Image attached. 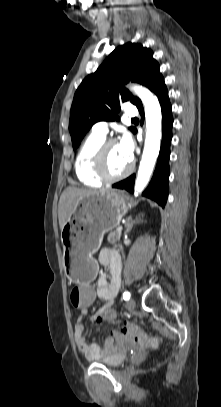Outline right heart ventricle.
<instances>
[{
    "label": "right heart ventricle",
    "instance_id": "right-heart-ventricle-1",
    "mask_svg": "<svg viewBox=\"0 0 221 407\" xmlns=\"http://www.w3.org/2000/svg\"><path fill=\"white\" fill-rule=\"evenodd\" d=\"M106 136L92 132L82 143L75 159V173L78 180L90 187H98L102 181L93 172L94 156Z\"/></svg>",
    "mask_w": 221,
    "mask_h": 407
}]
</instances>
